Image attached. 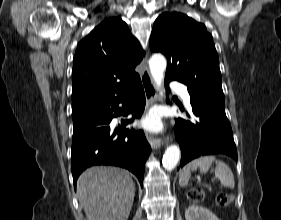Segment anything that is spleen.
I'll list each match as a JSON object with an SVG mask.
<instances>
[{"label": "spleen", "instance_id": "3e777b00", "mask_svg": "<svg viewBox=\"0 0 281 220\" xmlns=\"http://www.w3.org/2000/svg\"><path fill=\"white\" fill-rule=\"evenodd\" d=\"M213 163L216 164V167L211 171L214 172L215 177L220 180L221 185L233 189L235 181L230 167L223 161L217 160L216 157L212 155L199 157L185 165L180 171L179 184L181 186H186L190 179L191 171L199 169L200 173H207Z\"/></svg>", "mask_w": 281, "mask_h": 220}]
</instances>
